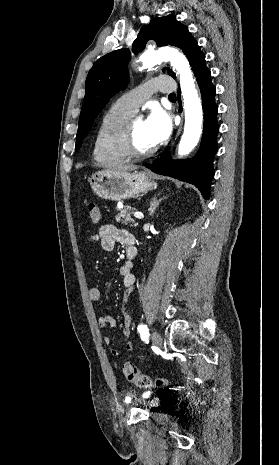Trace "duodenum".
Masks as SVG:
<instances>
[{
    "label": "duodenum",
    "instance_id": "410a0bca",
    "mask_svg": "<svg viewBox=\"0 0 279 465\" xmlns=\"http://www.w3.org/2000/svg\"><path fill=\"white\" fill-rule=\"evenodd\" d=\"M135 255H136V254H135V251H134L133 249H129V250L127 251V257H128L129 259H133V258L135 257Z\"/></svg>",
    "mask_w": 279,
    "mask_h": 465
}]
</instances>
